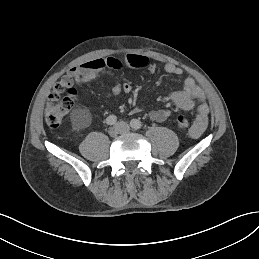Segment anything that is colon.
Listing matches in <instances>:
<instances>
[{
    "label": "colon",
    "instance_id": "1",
    "mask_svg": "<svg viewBox=\"0 0 259 259\" xmlns=\"http://www.w3.org/2000/svg\"><path fill=\"white\" fill-rule=\"evenodd\" d=\"M78 99V92L73 87L70 76L57 82L48 96L45 109V120L49 127H59L67 113L73 108ZM177 127L182 131L191 130V121L185 115L176 118Z\"/></svg>",
    "mask_w": 259,
    "mask_h": 259
}]
</instances>
